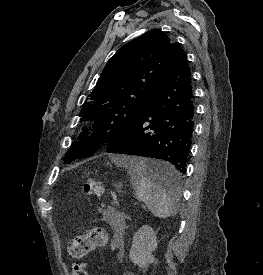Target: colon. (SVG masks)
<instances>
[{
  "mask_svg": "<svg viewBox=\"0 0 263 275\" xmlns=\"http://www.w3.org/2000/svg\"><path fill=\"white\" fill-rule=\"evenodd\" d=\"M83 191L88 197H95L102 200L104 197V185L95 178H89L84 184ZM107 239L106 231L102 228H94L83 235L72 238L68 244V253L73 258L85 257L92 248L103 246ZM73 275H88L87 264L76 262L73 264ZM125 275H134L127 273Z\"/></svg>",
  "mask_w": 263,
  "mask_h": 275,
  "instance_id": "obj_1",
  "label": "colon"
}]
</instances>
